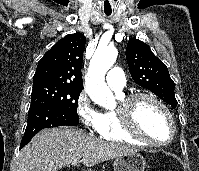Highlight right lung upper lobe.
Segmentation results:
<instances>
[{
  "label": "right lung upper lobe",
  "instance_id": "obj_1",
  "mask_svg": "<svg viewBox=\"0 0 199 171\" xmlns=\"http://www.w3.org/2000/svg\"><path fill=\"white\" fill-rule=\"evenodd\" d=\"M86 38L82 33L66 35L39 61L33 81H56L83 87L81 67Z\"/></svg>",
  "mask_w": 199,
  "mask_h": 171
}]
</instances>
